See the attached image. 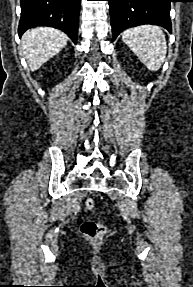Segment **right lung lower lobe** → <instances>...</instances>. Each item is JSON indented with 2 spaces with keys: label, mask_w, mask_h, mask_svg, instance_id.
Returning a JSON list of instances; mask_svg holds the SVG:
<instances>
[{
  "label": "right lung lower lobe",
  "mask_w": 193,
  "mask_h": 287,
  "mask_svg": "<svg viewBox=\"0 0 193 287\" xmlns=\"http://www.w3.org/2000/svg\"><path fill=\"white\" fill-rule=\"evenodd\" d=\"M18 33L37 26H49L67 33L76 44L81 0H20Z\"/></svg>",
  "instance_id": "98d812e1"
}]
</instances>
